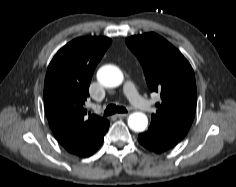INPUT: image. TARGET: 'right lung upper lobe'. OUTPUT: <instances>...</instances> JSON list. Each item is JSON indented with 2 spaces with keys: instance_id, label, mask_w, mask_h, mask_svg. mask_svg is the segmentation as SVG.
Here are the masks:
<instances>
[{
  "instance_id": "cb5924a9",
  "label": "right lung upper lobe",
  "mask_w": 236,
  "mask_h": 187,
  "mask_svg": "<svg viewBox=\"0 0 236 187\" xmlns=\"http://www.w3.org/2000/svg\"><path fill=\"white\" fill-rule=\"evenodd\" d=\"M111 40L80 37L66 44L49 64L44 83V104L58 142L71 154L92 155L102 144L109 121L86 116L85 101L97 63Z\"/></svg>"
}]
</instances>
